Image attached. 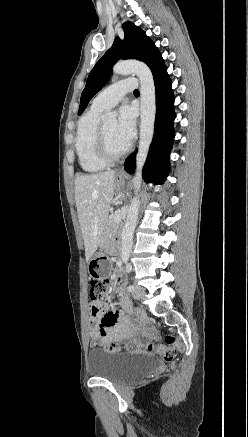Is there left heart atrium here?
Returning a JSON list of instances; mask_svg holds the SVG:
<instances>
[{
    "label": "left heart atrium",
    "instance_id": "1",
    "mask_svg": "<svg viewBox=\"0 0 248 437\" xmlns=\"http://www.w3.org/2000/svg\"><path fill=\"white\" fill-rule=\"evenodd\" d=\"M116 135L125 144H129L135 135V112L130 106H123L119 110Z\"/></svg>",
    "mask_w": 248,
    "mask_h": 437
}]
</instances>
